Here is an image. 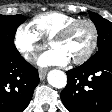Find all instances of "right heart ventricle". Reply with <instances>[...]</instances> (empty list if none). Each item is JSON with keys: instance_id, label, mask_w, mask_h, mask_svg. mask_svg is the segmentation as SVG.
I'll return each instance as SVG.
<instances>
[{"instance_id": "1", "label": "right heart ventricle", "mask_w": 112, "mask_h": 112, "mask_svg": "<svg viewBox=\"0 0 112 112\" xmlns=\"http://www.w3.org/2000/svg\"><path fill=\"white\" fill-rule=\"evenodd\" d=\"M75 20V17L68 14L51 11L35 16L31 21V26L41 38L50 40L63 27Z\"/></svg>"}]
</instances>
